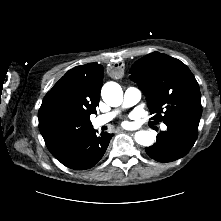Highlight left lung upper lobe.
<instances>
[{
    "mask_svg": "<svg viewBox=\"0 0 221 221\" xmlns=\"http://www.w3.org/2000/svg\"><path fill=\"white\" fill-rule=\"evenodd\" d=\"M130 79L146 95L151 124L185 117H201L199 85L180 60L153 52L135 62Z\"/></svg>",
    "mask_w": 221,
    "mask_h": 221,
    "instance_id": "obj_1",
    "label": "left lung upper lobe"
}]
</instances>
